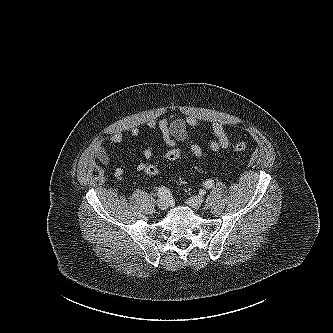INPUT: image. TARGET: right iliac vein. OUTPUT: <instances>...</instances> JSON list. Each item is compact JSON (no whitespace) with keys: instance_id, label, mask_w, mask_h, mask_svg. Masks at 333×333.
Returning <instances> with one entry per match:
<instances>
[{"instance_id":"1","label":"right iliac vein","mask_w":333,"mask_h":333,"mask_svg":"<svg viewBox=\"0 0 333 333\" xmlns=\"http://www.w3.org/2000/svg\"><path fill=\"white\" fill-rule=\"evenodd\" d=\"M157 206L161 210H166L168 208V201H167V199H163V198L159 199L157 201Z\"/></svg>"}]
</instances>
